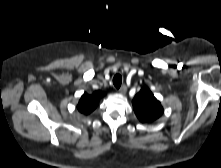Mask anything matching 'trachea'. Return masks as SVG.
<instances>
[{"label": "trachea", "instance_id": "obj_1", "mask_svg": "<svg viewBox=\"0 0 221 168\" xmlns=\"http://www.w3.org/2000/svg\"><path fill=\"white\" fill-rule=\"evenodd\" d=\"M121 83H122V76L120 74L115 75L113 78L114 86L118 89L120 88Z\"/></svg>", "mask_w": 221, "mask_h": 168}]
</instances>
